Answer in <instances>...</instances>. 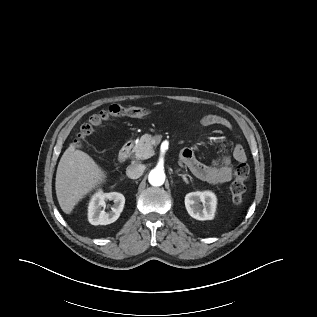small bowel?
<instances>
[{
    "mask_svg": "<svg viewBox=\"0 0 317 317\" xmlns=\"http://www.w3.org/2000/svg\"><path fill=\"white\" fill-rule=\"evenodd\" d=\"M204 126H220L231 129V123L224 117L216 114H207L201 118ZM246 153L241 145H236L230 155L215 159L211 164L199 161L192 149L184 148L181 152L182 162L189 168L192 174L203 181L214 185H222L229 182L233 177L234 162L244 163Z\"/></svg>",
    "mask_w": 317,
    "mask_h": 317,
    "instance_id": "c3829d8e",
    "label": "small bowel"
}]
</instances>
